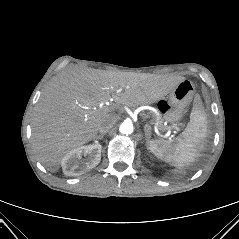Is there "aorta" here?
Instances as JSON below:
<instances>
[{
	"label": "aorta",
	"instance_id": "obj_1",
	"mask_svg": "<svg viewBox=\"0 0 239 239\" xmlns=\"http://www.w3.org/2000/svg\"><path fill=\"white\" fill-rule=\"evenodd\" d=\"M119 131L121 134H124V135L132 134L134 131L133 123L131 121H124L123 123H121L119 127Z\"/></svg>",
	"mask_w": 239,
	"mask_h": 239
}]
</instances>
